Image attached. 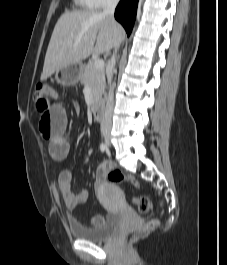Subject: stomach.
Segmentation results:
<instances>
[{
	"mask_svg": "<svg viewBox=\"0 0 227 265\" xmlns=\"http://www.w3.org/2000/svg\"><path fill=\"white\" fill-rule=\"evenodd\" d=\"M82 63H75L55 71L54 79L63 86H71L79 82L83 73Z\"/></svg>",
	"mask_w": 227,
	"mask_h": 265,
	"instance_id": "stomach-1",
	"label": "stomach"
}]
</instances>
